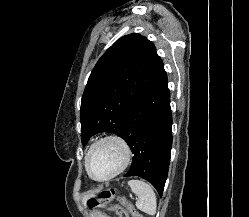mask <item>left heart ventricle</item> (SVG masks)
Returning <instances> with one entry per match:
<instances>
[{
  "instance_id": "left-heart-ventricle-1",
  "label": "left heart ventricle",
  "mask_w": 249,
  "mask_h": 217,
  "mask_svg": "<svg viewBox=\"0 0 249 217\" xmlns=\"http://www.w3.org/2000/svg\"><path fill=\"white\" fill-rule=\"evenodd\" d=\"M122 161V150L114 143L99 145L92 153L89 166L93 176L101 178L113 172Z\"/></svg>"
}]
</instances>
